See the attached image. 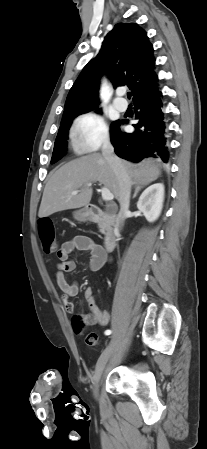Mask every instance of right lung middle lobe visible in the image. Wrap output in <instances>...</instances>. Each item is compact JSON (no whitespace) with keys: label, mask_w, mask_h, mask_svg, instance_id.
<instances>
[{"label":"right lung middle lobe","mask_w":207,"mask_h":449,"mask_svg":"<svg viewBox=\"0 0 207 449\" xmlns=\"http://www.w3.org/2000/svg\"><path fill=\"white\" fill-rule=\"evenodd\" d=\"M76 116H78V115L68 117L61 121V126L59 128V131H58V134H57V137L55 140L51 163L57 162L65 155L66 146H67L66 140H67L68 130H69V127H70L73 119ZM116 123H117V121L111 125V129L116 125Z\"/></svg>","instance_id":"obj_1"}]
</instances>
